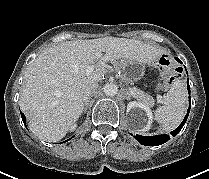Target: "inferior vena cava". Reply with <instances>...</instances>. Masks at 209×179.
<instances>
[{"instance_id":"inferior-vena-cava-1","label":"inferior vena cava","mask_w":209,"mask_h":179,"mask_svg":"<svg viewBox=\"0 0 209 179\" xmlns=\"http://www.w3.org/2000/svg\"><path fill=\"white\" fill-rule=\"evenodd\" d=\"M97 86H98L97 83H93V84L88 88V90H87V91L85 92V94L83 95V100H84L85 102L89 99L91 93L93 92V90H95V88H96Z\"/></svg>"}]
</instances>
